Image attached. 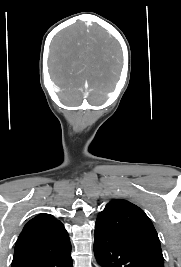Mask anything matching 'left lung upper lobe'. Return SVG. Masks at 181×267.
I'll return each mask as SVG.
<instances>
[{"mask_svg": "<svg viewBox=\"0 0 181 267\" xmlns=\"http://www.w3.org/2000/svg\"><path fill=\"white\" fill-rule=\"evenodd\" d=\"M95 233L107 234L163 262L157 232L142 209L123 199L110 201L99 213Z\"/></svg>", "mask_w": 181, "mask_h": 267, "instance_id": "5c2ea615", "label": "left lung upper lobe"}]
</instances>
